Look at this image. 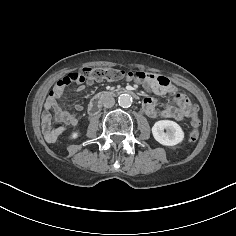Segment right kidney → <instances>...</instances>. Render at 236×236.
Segmentation results:
<instances>
[{
    "mask_svg": "<svg viewBox=\"0 0 236 236\" xmlns=\"http://www.w3.org/2000/svg\"><path fill=\"white\" fill-rule=\"evenodd\" d=\"M77 137H78V132H76V131L72 132L70 138L71 139H76Z\"/></svg>",
    "mask_w": 236,
    "mask_h": 236,
    "instance_id": "1",
    "label": "right kidney"
}]
</instances>
